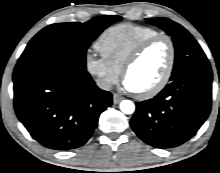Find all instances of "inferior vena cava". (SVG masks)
<instances>
[{"mask_svg":"<svg viewBox=\"0 0 220 173\" xmlns=\"http://www.w3.org/2000/svg\"><path fill=\"white\" fill-rule=\"evenodd\" d=\"M96 84L99 88L109 91L112 88V83L105 79H97Z\"/></svg>","mask_w":220,"mask_h":173,"instance_id":"obj_1","label":"inferior vena cava"}]
</instances>
